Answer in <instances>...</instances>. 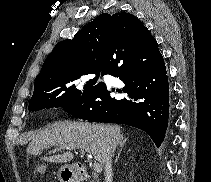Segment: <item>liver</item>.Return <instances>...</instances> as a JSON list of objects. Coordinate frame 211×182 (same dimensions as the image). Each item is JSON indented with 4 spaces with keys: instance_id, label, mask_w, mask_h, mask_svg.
<instances>
[{
    "instance_id": "1",
    "label": "liver",
    "mask_w": 211,
    "mask_h": 182,
    "mask_svg": "<svg viewBox=\"0 0 211 182\" xmlns=\"http://www.w3.org/2000/svg\"><path fill=\"white\" fill-rule=\"evenodd\" d=\"M123 139L121 128L117 125L91 124L87 122L61 121L40 131L27 147V154L37 156L52 146L60 149H83L92 154L101 166L111 156ZM74 155L69 152L45 157L52 163H67Z\"/></svg>"
}]
</instances>
